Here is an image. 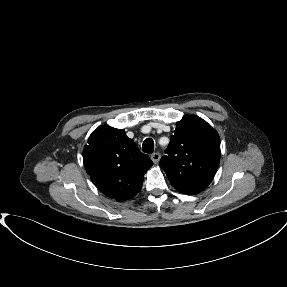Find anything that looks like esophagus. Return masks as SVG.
I'll return each instance as SVG.
<instances>
[{
	"label": "esophagus",
	"instance_id": "esophagus-1",
	"mask_svg": "<svg viewBox=\"0 0 287 287\" xmlns=\"http://www.w3.org/2000/svg\"><path fill=\"white\" fill-rule=\"evenodd\" d=\"M160 154L159 153H153L152 155H151V159H152V161L155 163V164H157L158 162H159V160H160Z\"/></svg>",
	"mask_w": 287,
	"mask_h": 287
}]
</instances>
